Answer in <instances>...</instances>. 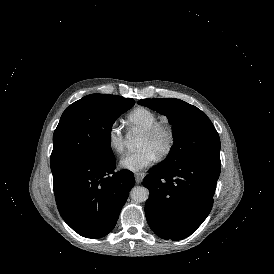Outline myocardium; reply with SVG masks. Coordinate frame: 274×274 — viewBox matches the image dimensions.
I'll return each instance as SVG.
<instances>
[{
	"label": "myocardium",
	"instance_id": "myocardium-1",
	"mask_svg": "<svg viewBox=\"0 0 274 274\" xmlns=\"http://www.w3.org/2000/svg\"><path fill=\"white\" fill-rule=\"evenodd\" d=\"M159 134H164L167 137L166 146L157 155L158 158L162 159L168 156L175 146L176 135L172 126L168 124L158 123L142 133V135L148 138H155Z\"/></svg>",
	"mask_w": 274,
	"mask_h": 274
}]
</instances>
